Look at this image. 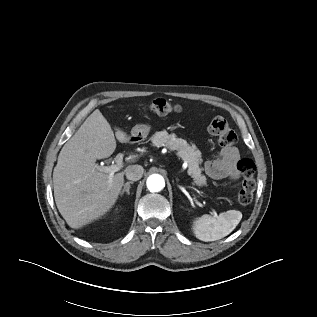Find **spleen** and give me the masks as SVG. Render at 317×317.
Returning a JSON list of instances; mask_svg holds the SVG:
<instances>
[{
	"label": "spleen",
	"mask_w": 317,
	"mask_h": 317,
	"mask_svg": "<svg viewBox=\"0 0 317 317\" xmlns=\"http://www.w3.org/2000/svg\"><path fill=\"white\" fill-rule=\"evenodd\" d=\"M241 219L242 213L237 210L222 212L218 217L205 214L194 221L193 232L201 241H216L229 235Z\"/></svg>",
	"instance_id": "3e777b00"
}]
</instances>
